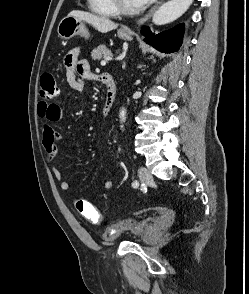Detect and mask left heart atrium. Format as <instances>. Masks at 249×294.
<instances>
[{
    "label": "left heart atrium",
    "mask_w": 249,
    "mask_h": 294,
    "mask_svg": "<svg viewBox=\"0 0 249 294\" xmlns=\"http://www.w3.org/2000/svg\"><path fill=\"white\" fill-rule=\"evenodd\" d=\"M134 1L136 3L137 7H140V6L147 4L151 0H134Z\"/></svg>",
    "instance_id": "39dd6f15"
}]
</instances>
